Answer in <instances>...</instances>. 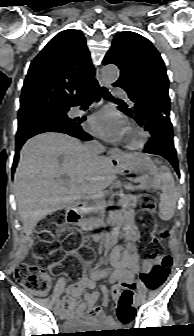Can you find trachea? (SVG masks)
<instances>
[{
	"mask_svg": "<svg viewBox=\"0 0 194 336\" xmlns=\"http://www.w3.org/2000/svg\"><path fill=\"white\" fill-rule=\"evenodd\" d=\"M101 95L103 96L104 99L106 100H118V99H115L113 98L109 91L103 87L102 90H101ZM84 103H91L92 102V97H86L84 100H83Z\"/></svg>",
	"mask_w": 194,
	"mask_h": 336,
	"instance_id": "trachea-1",
	"label": "trachea"
}]
</instances>
